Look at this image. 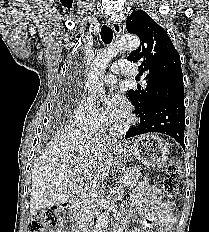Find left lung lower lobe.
<instances>
[{"instance_id": "left-lung-lower-lobe-1", "label": "left lung lower lobe", "mask_w": 209, "mask_h": 232, "mask_svg": "<svg viewBox=\"0 0 209 232\" xmlns=\"http://www.w3.org/2000/svg\"><path fill=\"white\" fill-rule=\"evenodd\" d=\"M140 123L132 126L126 133L125 139L136 135L158 132L174 138L185 150L184 102L163 103L153 106L140 114Z\"/></svg>"}]
</instances>
